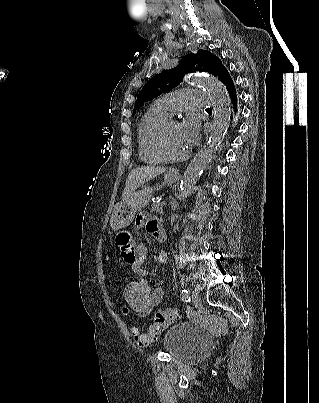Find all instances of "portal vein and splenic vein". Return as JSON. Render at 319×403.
Here are the masks:
<instances>
[{
  "label": "portal vein and splenic vein",
  "instance_id": "18ae733b",
  "mask_svg": "<svg viewBox=\"0 0 319 403\" xmlns=\"http://www.w3.org/2000/svg\"><path fill=\"white\" fill-rule=\"evenodd\" d=\"M161 205L166 206V202L165 201L161 202Z\"/></svg>",
  "mask_w": 319,
  "mask_h": 403
}]
</instances>
